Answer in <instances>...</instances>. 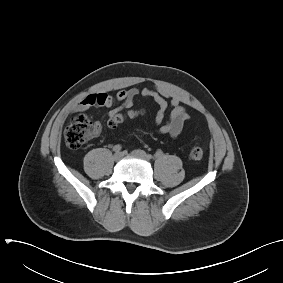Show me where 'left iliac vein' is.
<instances>
[{
	"instance_id": "left-iliac-vein-1",
	"label": "left iliac vein",
	"mask_w": 283,
	"mask_h": 283,
	"mask_svg": "<svg viewBox=\"0 0 283 283\" xmlns=\"http://www.w3.org/2000/svg\"><path fill=\"white\" fill-rule=\"evenodd\" d=\"M132 156L134 157H137V158H141L143 160H146V161H149L151 158H150V155H148L145 151L143 150H134L131 152Z\"/></svg>"
}]
</instances>
